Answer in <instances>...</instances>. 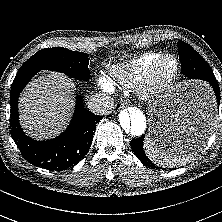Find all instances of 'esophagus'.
<instances>
[{
	"label": "esophagus",
	"instance_id": "esophagus-1",
	"mask_svg": "<svg viewBox=\"0 0 222 222\" xmlns=\"http://www.w3.org/2000/svg\"><path fill=\"white\" fill-rule=\"evenodd\" d=\"M126 105L125 101H118L116 104H115V111H118L120 110L121 108H123L124 106Z\"/></svg>",
	"mask_w": 222,
	"mask_h": 222
}]
</instances>
